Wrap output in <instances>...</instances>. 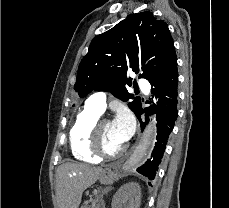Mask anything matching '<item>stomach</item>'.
<instances>
[{
	"label": "stomach",
	"mask_w": 229,
	"mask_h": 208,
	"mask_svg": "<svg viewBox=\"0 0 229 208\" xmlns=\"http://www.w3.org/2000/svg\"><path fill=\"white\" fill-rule=\"evenodd\" d=\"M118 174L116 170H111V168H106L101 172L98 180L100 184H104V186H108V184H113L114 180H117Z\"/></svg>",
	"instance_id": "0dacf381"
}]
</instances>
